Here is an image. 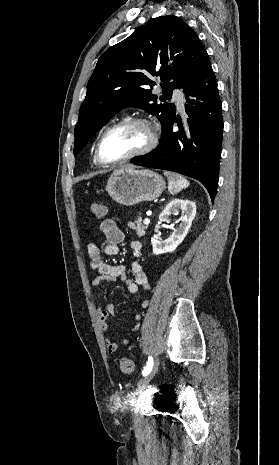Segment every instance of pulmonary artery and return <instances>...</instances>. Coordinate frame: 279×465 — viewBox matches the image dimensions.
Wrapping results in <instances>:
<instances>
[{
  "mask_svg": "<svg viewBox=\"0 0 279 465\" xmlns=\"http://www.w3.org/2000/svg\"><path fill=\"white\" fill-rule=\"evenodd\" d=\"M173 100L176 102L178 108L180 111H184V97L183 94L175 91L173 93Z\"/></svg>",
  "mask_w": 279,
  "mask_h": 465,
  "instance_id": "pulmonary-artery-1",
  "label": "pulmonary artery"
}]
</instances>
